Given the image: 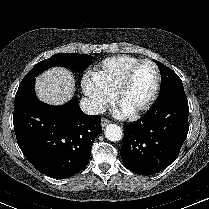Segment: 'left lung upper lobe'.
Listing matches in <instances>:
<instances>
[{
  "label": "left lung upper lobe",
  "instance_id": "left-lung-upper-lobe-1",
  "mask_svg": "<svg viewBox=\"0 0 209 209\" xmlns=\"http://www.w3.org/2000/svg\"><path fill=\"white\" fill-rule=\"evenodd\" d=\"M157 65L161 72L160 94L170 89L183 88L181 79L174 71L158 61Z\"/></svg>",
  "mask_w": 209,
  "mask_h": 209
}]
</instances>
